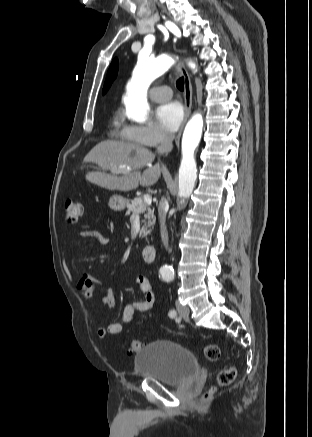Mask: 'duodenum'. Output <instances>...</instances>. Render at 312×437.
Here are the masks:
<instances>
[{
    "label": "duodenum",
    "instance_id": "1",
    "mask_svg": "<svg viewBox=\"0 0 312 437\" xmlns=\"http://www.w3.org/2000/svg\"><path fill=\"white\" fill-rule=\"evenodd\" d=\"M154 253L155 248L153 245H145L141 251L142 260L146 263L152 262L154 258Z\"/></svg>",
    "mask_w": 312,
    "mask_h": 437
}]
</instances>
